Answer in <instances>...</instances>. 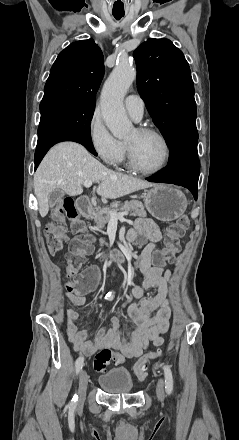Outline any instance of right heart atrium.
I'll list each match as a JSON object with an SVG mask.
<instances>
[{
  "label": "right heart atrium",
  "mask_w": 239,
  "mask_h": 440,
  "mask_svg": "<svg viewBox=\"0 0 239 440\" xmlns=\"http://www.w3.org/2000/svg\"><path fill=\"white\" fill-rule=\"evenodd\" d=\"M88 138L98 156L109 166L119 165L126 152L125 143L108 130L102 116L94 112L88 124Z\"/></svg>",
  "instance_id": "d8ad5b80"
}]
</instances>
